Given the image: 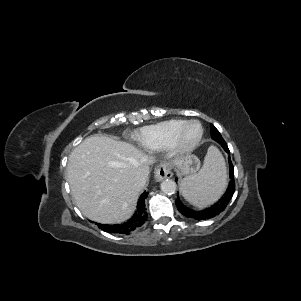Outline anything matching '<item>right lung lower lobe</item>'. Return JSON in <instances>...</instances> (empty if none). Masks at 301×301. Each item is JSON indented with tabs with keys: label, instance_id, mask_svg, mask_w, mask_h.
I'll return each instance as SVG.
<instances>
[{
	"label": "right lung lower lobe",
	"instance_id": "98d812e1",
	"mask_svg": "<svg viewBox=\"0 0 301 301\" xmlns=\"http://www.w3.org/2000/svg\"><path fill=\"white\" fill-rule=\"evenodd\" d=\"M148 193L145 191L139 198L138 205H137V212L133 215L131 219L127 222L122 224H100L98 223V227L106 232L115 233V234H130L133 230L137 227L143 225L147 219V214L145 212V198L147 197Z\"/></svg>",
	"mask_w": 301,
	"mask_h": 301
}]
</instances>
